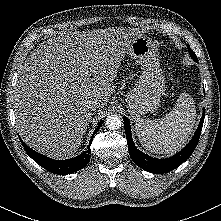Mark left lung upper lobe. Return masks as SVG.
<instances>
[{
    "label": "left lung upper lobe",
    "instance_id": "5c2ea615",
    "mask_svg": "<svg viewBox=\"0 0 221 221\" xmlns=\"http://www.w3.org/2000/svg\"><path fill=\"white\" fill-rule=\"evenodd\" d=\"M188 51H189V54H190L191 58H192L195 62H198L196 55L194 54V52L191 50V48H190L189 46H188Z\"/></svg>",
    "mask_w": 221,
    "mask_h": 221
}]
</instances>
